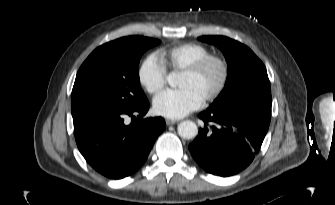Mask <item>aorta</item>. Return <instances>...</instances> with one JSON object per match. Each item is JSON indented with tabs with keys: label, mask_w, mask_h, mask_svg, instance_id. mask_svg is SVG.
I'll use <instances>...</instances> for the list:
<instances>
[{
	"label": "aorta",
	"mask_w": 335,
	"mask_h": 205,
	"mask_svg": "<svg viewBox=\"0 0 335 205\" xmlns=\"http://www.w3.org/2000/svg\"><path fill=\"white\" fill-rule=\"evenodd\" d=\"M167 81L171 87H176L178 84L177 75L175 72H172L168 75ZM178 134L184 139L195 138L198 134L197 125L190 120H185L179 123L177 128Z\"/></svg>",
	"instance_id": "aorta-1"
}]
</instances>
